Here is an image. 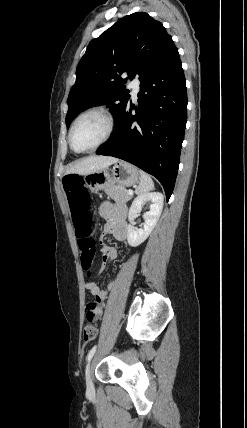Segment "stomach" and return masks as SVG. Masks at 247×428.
I'll return each mask as SVG.
<instances>
[{
    "label": "stomach",
    "mask_w": 247,
    "mask_h": 428,
    "mask_svg": "<svg viewBox=\"0 0 247 428\" xmlns=\"http://www.w3.org/2000/svg\"><path fill=\"white\" fill-rule=\"evenodd\" d=\"M139 170L125 161H118L112 169L108 167L86 174L84 181L93 193L105 190L115 183L121 186H132L139 181Z\"/></svg>",
    "instance_id": "obj_1"
}]
</instances>
